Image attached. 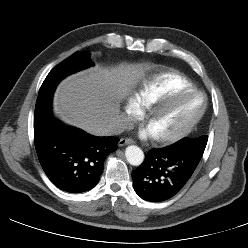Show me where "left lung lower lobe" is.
<instances>
[{
    "instance_id": "1",
    "label": "left lung lower lobe",
    "mask_w": 248,
    "mask_h": 248,
    "mask_svg": "<svg viewBox=\"0 0 248 248\" xmlns=\"http://www.w3.org/2000/svg\"><path fill=\"white\" fill-rule=\"evenodd\" d=\"M203 152L175 143L151 149L144 162L132 173L134 190L149 202H162L174 197L191 178Z\"/></svg>"
}]
</instances>
